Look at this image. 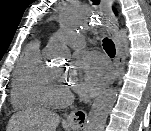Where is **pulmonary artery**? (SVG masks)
I'll return each mask as SVG.
<instances>
[{"mask_svg": "<svg viewBox=\"0 0 151 131\" xmlns=\"http://www.w3.org/2000/svg\"><path fill=\"white\" fill-rule=\"evenodd\" d=\"M66 37H67L68 44L73 47L82 46L86 42V39L84 38V36L76 32H70L67 34Z\"/></svg>", "mask_w": 151, "mask_h": 131, "instance_id": "pulmonary-artery-1", "label": "pulmonary artery"}]
</instances>
